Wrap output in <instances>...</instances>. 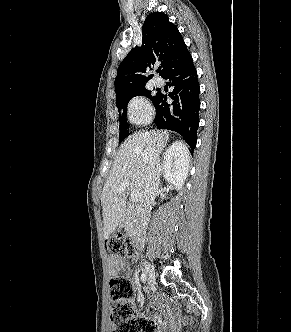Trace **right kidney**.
Listing matches in <instances>:
<instances>
[{"label":"right kidney","mask_w":291,"mask_h":332,"mask_svg":"<svg viewBox=\"0 0 291 332\" xmlns=\"http://www.w3.org/2000/svg\"><path fill=\"white\" fill-rule=\"evenodd\" d=\"M189 157L180 142L174 143L165 153L163 161L164 178L173 184L176 190L184 185L188 174Z\"/></svg>","instance_id":"obj_1"}]
</instances>
